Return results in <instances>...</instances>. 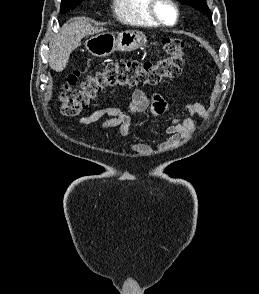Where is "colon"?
<instances>
[{
	"label": "colon",
	"mask_w": 259,
	"mask_h": 294,
	"mask_svg": "<svg viewBox=\"0 0 259 294\" xmlns=\"http://www.w3.org/2000/svg\"><path fill=\"white\" fill-rule=\"evenodd\" d=\"M165 57L157 62L119 60L90 73L77 85L79 73L71 74L60 96L63 115L74 117L87 109L91 101L103 90L115 87L141 88L155 86L165 79L176 78L183 67L186 42L178 38H166L162 42Z\"/></svg>",
	"instance_id": "obj_1"
}]
</instances>
